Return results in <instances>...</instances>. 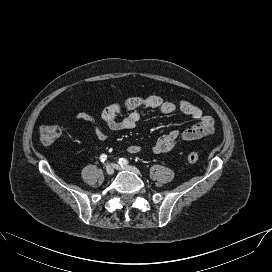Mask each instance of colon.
Wrapping results in <instances>:
<instances>
[{"instance_id": "1", "label": "colon", "mask_w": 272, "mask_h": 272, "mask_svg": "<svg viewBox=\"0 0 272 272\" xmlns=\"http://www.w3.org/2000/svg\"><path fill=\"white\" fill-rule=\"evenodd\" d=\"M65 132V128L59 124H47L40 128L39 139L43 145H49L60 138ZM199 160V154L191 152L187 155V161L191 164Z\"/></svg>"}]
</instances>
